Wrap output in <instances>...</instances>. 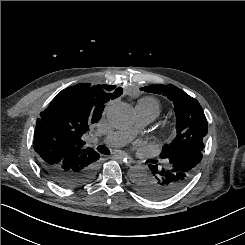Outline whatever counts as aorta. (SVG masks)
Returning a JSON list of instances; mask_svg holds the SVG:
<instances>
[{"mask_svg": "<svg viewBox=\"0 0 245 245\" xmlns=\"http://www.w3.org/2000/svg\"><path fill=\"white\" fill-rule=\"evenodd\" d=\"M106 116L108 122L115 128L122 129L134 123L135 114L132 106L124 102H115L107 107ZM129 179L138 183L142 179L148 178L150 172L147 168L136 165L129 169Z\"/></svg>", "mask_w": 245, "mask_h": 245, "instance_id": "1", "label": "aorta"}]
</instances>
